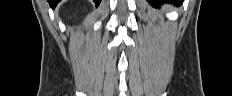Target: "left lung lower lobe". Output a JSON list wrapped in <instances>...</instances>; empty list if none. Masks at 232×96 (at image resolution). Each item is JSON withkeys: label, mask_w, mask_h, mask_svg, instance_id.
Here are the masks:
<instances>
[{"label": "left lung lower lobe", "mask_w": 232, "mask_h": 96, "mask_svg": "<svg viewBox=\"0 0 232 96\" xmlns=\"http://www.w3.org/2000/svg\"><path fill=\"white\" fill-rule=\"evenodd\" d=\"M153 6H158L162 2H173L175 4H181L183 0H148Z\"/></svg>", "instance_id": "obj_1"}]
</instances>
